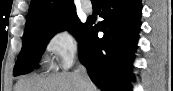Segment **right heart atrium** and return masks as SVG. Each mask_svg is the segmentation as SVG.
Listing matches in <instances>:
<instances>
[{
  "label": "right heart atrium",
  "instance_id": "obj_1",
  "mask_svg": "<svg viewBox=\"0 0 173 91\" xmlns=\"http://www.w3.org/2000/svg\"><path fill=\"white\" fill-rule=\"evenodd\" d=\"M47 49L62 69H68L80 48L78 35L70 28L55 31L47 40Z\"/></svg>",
  "mask_w": 173,
  "mask_h": 91
}]
</instances>
